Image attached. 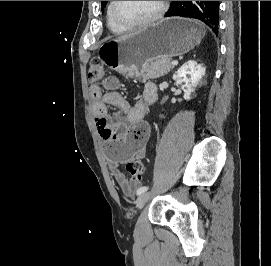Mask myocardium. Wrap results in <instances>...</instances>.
Here are the masks:
<instances>
[{
  "mask_svg": "<svg viewBox=\"0 0 271 266\" xmlns=\"http://www.w3.org/2000/svg\"><path fill=\"white\" fill-rule=\"evenodd\" d=\"M117 3H118V1H111L110 12H111L112 19L114 20L115 23H117L118 25H120L121 27H124L126 29L139 28V27L153 24V23L157 22L159 19H161L166 11V2L165 1H158L157 10L155 11V13L153 15H151L150 17H148L142 21L128 22V21L121 19L118 16V14L116 12Z\"/></svg>",
  "mask_w": 271,
  "mask_h": 266,
  "instance_id": "obj_1",
  "label": "myocardium"
}]
</instances>
